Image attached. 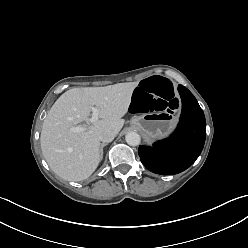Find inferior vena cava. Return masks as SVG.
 I'll return each mask as SVG.
<instances>
[{
    "label": "inferior vena cava",
    "mask_w": 248,
    "mask_h": 248,
    "mask_svg": "<svg viewBox=\"0 0 248 248\" xmlns=\"http://www.w3.org/2000/svg\"><path fill=\"white\" fill-rule=\"evenodd\" d=\"M115 136H116L115 132L108 128L102 129L98 133V139L103 143H109L113 141Z\"/></svg>",
    "instance_id": "inferior-vena-cava-1"
}]
</instances>
